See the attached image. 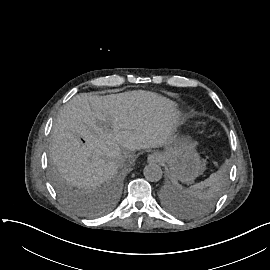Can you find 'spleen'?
Segmentation results:
<instances>
[{"label": "spleen", "mask_w": 270, "mask_h": 270, "mask_svg": "<svg viewBox=\"0 0 270 270\" xmlns=\"http://www.w3.org/2000/svg\"><path fill=\"white\" fill-rule=\"evenodd\" d=\"M225 181V172L222 170H218L217 172L210 175L204 181H201L197 184H194L190 188H182L180 184H178V188L175 191V197L181 199L184 207H194L192 203L197 202V198L199 197L200 190L206 186L211 187H219ZM191 203V204H189Z\"/></svg>", "instance_id": "3e777b00"}]
</instances>
